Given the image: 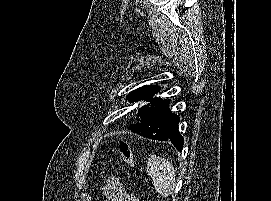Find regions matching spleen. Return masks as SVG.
Instances as JSON below:
<instances>
[{
    "instance_id": "obj_1",
    "label": "spleen",
    "mask_w": 271,
    "mask_h": 201,
    "mask_svg": "<svg viewBox=\"0 0 271 201\" xmlns=\"http://www.w3.org/2000/svg\"><path fill=\"white\" fill-rule=\"evenodd\" d=\"M147 172L152 178L155 190L168 197L176 186V174L173 165L166 159L151 155L147 163Z\"/></svg>"
}]
</instances>
